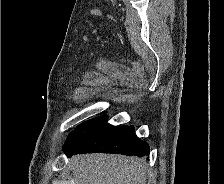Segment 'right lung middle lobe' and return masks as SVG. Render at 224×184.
I'll use <instances>...</instances> for the list:
<instances>
[{"instance_id": "1", "label": "right lung middle lobe", "mask_w": 224, "mask_h": 184, "mask_svg": "<svg viewBox=\"0 0 224 184\" xmlns=\"http://www.w3.org/2000/svg\"><path fill=\"white\" fill-rule=\"evenodd\" d=\"M107 120V116H100L94 119H91L89 121L83 122L75 130H73L64 146H69L72 144H75L77 141H79L83 136L100 126L102 123H104Z\"/></svg>"}]
</instances>
